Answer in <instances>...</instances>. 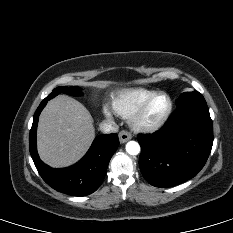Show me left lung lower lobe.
Here are the masks:
<instances>
[{
	"instance_id": "obj_1",
	"label": "left lung lower lobe",
	"mask_w": 233,
	"mask_h": 233,
	"mask_svg": "<svg viewBox=\"0 0 233 233\" xmlns=\"http://www.w3.org/2000/svg\"><path fill=\"white\" fill-rule=\"evenodd\" d=\"M139 165L153 186L181 184L205 165L213 145V126L206 101H189L176 108L161 130L138 135Z\"/></svg>"
}]
</instances>
